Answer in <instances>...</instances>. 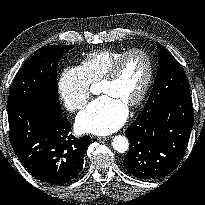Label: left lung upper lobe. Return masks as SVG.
<instances>
[{
  "label": "left lung upper lobe",
  "mask_w": 205,
  "mask_h": 205,
  "mask_svg": "<svg viewBox=\"0 0 205 205\" xmlns=\"http://www.w3.org/2000/svg\"><path fill=\"white\" fill-rule=\"evenodd\" d=\"M157 50L159 59L157 76L142 111H152L175 95L190 94L186 75L179 62L158 42Z\"/></svg>",
  "instance_id": "left-lung-upper-lobe-1"
}]
</instances>
